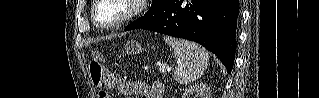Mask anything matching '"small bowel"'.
<instances>
[{"mask_svg": "<svg viewBox=\"0 0 319 98\" xmlns=\"http://www.w3.org/2000/svg\"><path fill=\"white\" fill-rule=\"evenodd\" d=\"M107 86L118 89L127 97L138 95L140 98H161L163 90L159 83L148 85L144 82L128 81L117 75L109 76Z\"/></svg>", "mask_w": 319, "mask_h": 98, "instance_id": "small-bowel-1", "label": "small bowel"}]
</instances>
